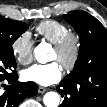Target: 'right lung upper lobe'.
Masks as SVG:
<instances>
[{"mask_svg": "<svg viewBox=\"0 0 107 107\" xmlns=\"http://www.w3.org/2000/svg\"><path fill=\"white\" fill-rule=\"evenodd\" d=\"M3 31V25H2V23H1V21H0V33Z\"/></svg>", "mask_w": 107, "mask_h": 107, "instance_id": "right-lung-upper-lobe-1", "label": "right lung upper lobe"}]
</instances>
